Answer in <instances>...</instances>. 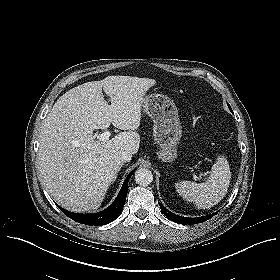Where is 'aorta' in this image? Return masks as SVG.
Listing matches in <instances>:
<instances>
[{"instance_id":"762f6f07","label":"aorta","mask_w":280,"mask_h":280,"mask_svg":"<svg viewBox=\"0 0 280 280\" xmlns=\"http://www.w3.org/2000/svg\"><path fill=\"white\" fill-rule=\"evenodd\" d=\"M135 181L139 185L147 186V185L152 183V181H153V174L147 168H139L135 172Z\"/></svg>"}]
</instances>
